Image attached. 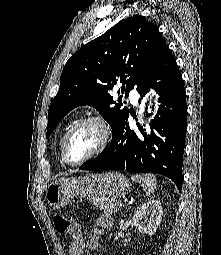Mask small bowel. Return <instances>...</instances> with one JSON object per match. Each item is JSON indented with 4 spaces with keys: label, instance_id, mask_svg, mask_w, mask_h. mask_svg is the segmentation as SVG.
I'll return each mask as SVG.
<instances>
[{
    "label": "small bowel",
    "instance_id": "small-bowel-1",
    "mask_svg": "<svg viewBox=\"0 0 221 255\" xmlns=\"http://www.w3.org/2000/svg\"><path fill=\"white\" fill-rule=\"evenodd\" d=\"M113 226V219L109 215H102L96 219L95 225L89 236L87 243L84 240L82 231L71 236V244L69 248V255H82L85 246L94 250L98 247V244L103 237L104 233L110 230Z\"/></svg>",
    "mask_w": 221,
    "mask_h": 255
}]
</instances>
